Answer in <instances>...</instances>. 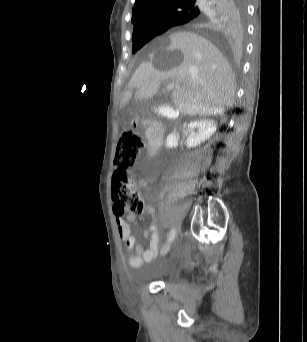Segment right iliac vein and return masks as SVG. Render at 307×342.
<instances>
[{"label": "right iliac vein", "mask_w": 307, "mask_h": 342, "mask_svg": "<svg viewBox=\"0 0 307 342\" xmlns=\"http://www.w3.org/2000/svg\"><path fill=\"white\" fill-rule=\"evenodd\" d=\"M170 250V244H166L161 248V254L165 255Z\"/></svg>", "instance_id": "1"}]
</instances>
